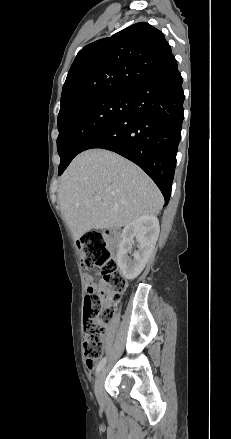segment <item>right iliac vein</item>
I'll return each mask as SVG.
<instances>
[{
	"label": "right iliac vein",
	"instance_id": "obj_1",
	"mask_svg": "<svg viewBox=\"0 0 231 439\" xmlns=\"http://www.w3.org/2000/svg\"><path fill=\"white\" fill-rule=\"evenodd\" d=\"M106 377V369H102L95 382L94 392L99 401L103 399V382Z\"/></svg>",
	"mask_w": 231,
	"mask_h": 439
}]
</instances>
